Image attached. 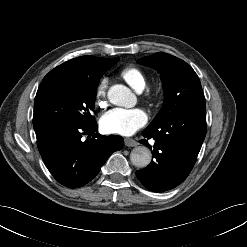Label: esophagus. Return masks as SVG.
Instances as JSON below:
<instances>
[{"label":"esophagus","instance_id":"esophagus-1","mask_svg":"<svg viewBox=\"0 0 247 247\" xmlns=\"http://www.w3.org/2000/svg\"><path fill=\"white\" fill-rule=\"evenodd\" d=\"M124 142H125V145L128 147H135L138 145V142L132 138H125Z\"/></svg>","mask_w":247,"mask_h":247}]
</instances>
